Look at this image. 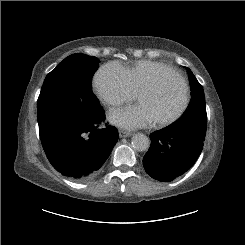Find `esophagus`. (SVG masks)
<instances>
[{
  "label": "esophagus",
  "instance_id": "34e87169",
  "mask_svg": "<svg viewBox=\"0 0 245 245\" xmlns=\"http://www.w3.org/2000/svg\"><path fill=\"white\" fill-rule=\"evenodd\" d=\"M119 136H120V138L130 137V136H132V133L128 132V131L120 130Z\"/></svg>",
  "mask_w": 245,
  "mask_h": 245
}]
</instances>
